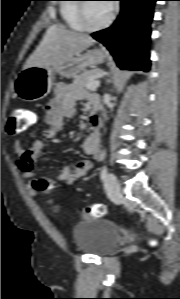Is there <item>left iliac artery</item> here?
Wrapping results in <instances>:
<instances>
[{"label":"left iliac artery","mask_w":180,"mask_h":299,"mask_svg":"<svg viewBox=\"0 0 180 299\" xmlns=\"http://www.w3.org/2000/svg\"><path fill=\"white\" fill-rule=\"evenodd\" d=\"M100 177L102 180L106 179V177H107V167L106 166H104L103 169L101 170Z\"/></svg>","instance_id":"1"}]
</instances>
